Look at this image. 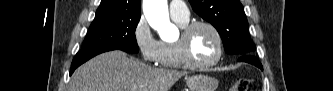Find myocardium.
<instances>
[{"instance_id": "obj_1", "label": "myocardium", "mask_w": 333, "mask_h": 91, "mask_svg": "<svg viewBox=\"0 0 333 91\" xmlns=\"http://www.w3.org/2000/svg\"><path fill=\"white\" fill-rule=\"evenodd\" d=\"M199 27H205L209 29L214 34L218 45L216 56L212 60L204 63H199L193 60L190 48L192 35ZM176 42L179 50V58L182 64L187 68L199 70L210 68L219 63L224 54V41L220 31L214 24L207 21L197 20L189 22L182 28L181 35Z\"/></svg>"}]
</instances>
